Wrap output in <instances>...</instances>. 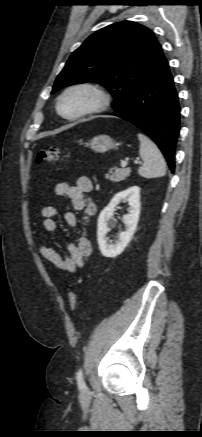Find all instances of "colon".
I'll return each mask as SVG.
<instances>
[{
  "label": "colon",
  "instance_id": "obj_1",
  "mask_svg": "<svg viewBox=\"0 0 202 437\" xmlns=\"http://www.w3.org/2000/svg\"><path fill=\"white\" fill-rule=\"evenodd\" d=\"M60 156V149L58 147H49L45 149H40L37 153L36 161L38 163L42 162H53L56 161ZM69 307L72 311H74L78 304H79V298L76 292L72 291L69 293Z\"/></svg>",
  "mask_w": 202,
  "mask_h": 437
}]
</instances>
